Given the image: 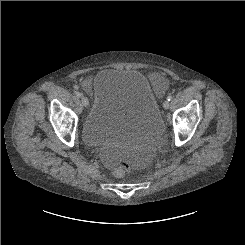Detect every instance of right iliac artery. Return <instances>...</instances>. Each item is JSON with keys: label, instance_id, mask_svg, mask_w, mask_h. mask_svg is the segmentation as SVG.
<instances>
[{"label": "right iliac artery", "instance_id": "1", "mask_svg": "<svg viewBox=\"0 0 245 245\" xmlns=\"http://www.w3.org/2000/svg\"><path fill=\"white\" fill-rule=\"evenodd\" d=\"M76 95L78 96V97H81V93L80 92H76Z\"/></svg>", "mask_w": 245, "mask_h": 245}]
</instances>
